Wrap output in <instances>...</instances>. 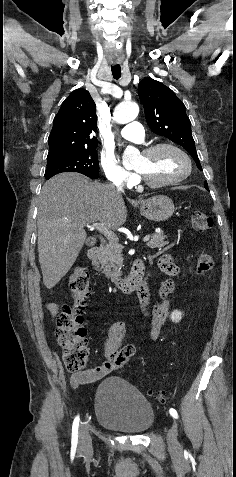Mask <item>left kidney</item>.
Wrapping results in <instances>:
<instances>
[{
    "label": "left kidney",
    "mask_w": 236,
    "mask_h": 477,
    "mask_svg": "<svg viewBox=\"0 0 236 477\" xmlns=\"http://www.w3.org/2000/svg\"><path fill=\"white\" fill-rule=\"evenodd\" d=\"M182 315H183L182 312L175 310L171 313L170 318L173 322L178 323L181 320Z\"/></svg>",
    "instance_id": "1"
}]
</instances>
